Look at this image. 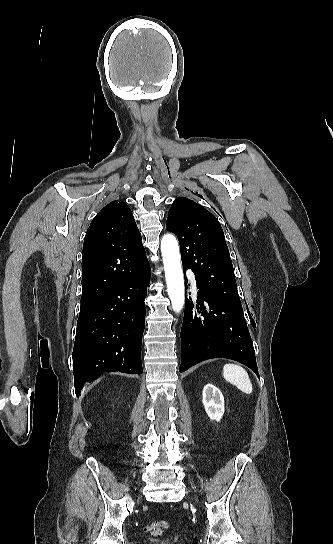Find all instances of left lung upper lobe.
Returning <instances> with one entry per match:
<instances>
[{"label": "left lung upper lobe", "mask_w": 333, "mask_h": 544, "mask_svg": "<svg viewBox=\"0 0 333 544\" xmlns=\"http://www.w3.org/2000/svg\"><path fill=\"white\" fill-rule=\"evenodd\" d=\"M166 228L178 237L183 268H190L198 282L242 310L229 250L217 218L194 201L179 197L169 210Z\"/></svg>", "instance_id": "1"}]
</instances>
